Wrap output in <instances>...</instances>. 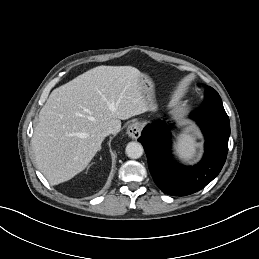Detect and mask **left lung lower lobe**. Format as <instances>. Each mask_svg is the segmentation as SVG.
<instances>
[{
	"instance_id": "1",
	"label": "left lung lower lobe",
	"mask_w": 259,
	"mask_h": 259,
	"mask_svg": "<svg viewBox=\"0 0 259 259\" xmlns=\"http://www.w3.org/2000/svg\"><path fill=\"white\" fill-rule=\"evenodd\" d=\"M205 136V153L200 163L182 166L171 159L168 128L161 123L147 125L139 137L154 182L166 194L186 196L203 189L221 171L228 152L230 122L216 90L205 91L202 106L191 114Z\"/></svg>"
}]
</instances>
